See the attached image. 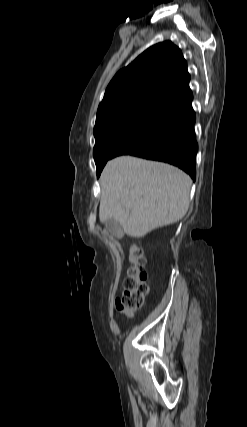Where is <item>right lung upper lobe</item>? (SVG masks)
I'll return each mask as SVG.
<instances>
[{
    "label": "right lung upper lobe",
    "instance_id": "right-lung-upper-lobe-1",
    "mask_svg": "<svg viewBox=\"0 0 247 427\" xmlns=\"http://www.w3.org/2000/svg\"><path fill=\"white\" fill-rule=\"evenodd\" d=\"M189 81L181 50L170 41L153 45L113 77L99 104L97 118L131 107L155 109L190 89Z\"/></svg>",
    "mask_w": 247,
    "mask_h": 427
}]
</instances>
